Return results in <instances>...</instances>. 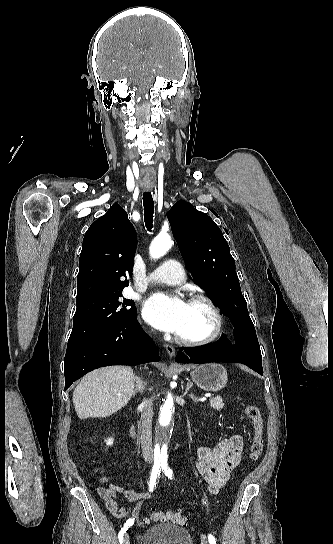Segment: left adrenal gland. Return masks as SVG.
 I'll list each match as a JSON object with an SVG mask.
<instances>
[{"mask_svg":"<svg viewBox=\"0 0 333 544\" xmlns=\"http://www.w3.org/2000/svg\"><path fill=\"white\" fill-rule=\"evenodd\" d=\"M192 385H193V384H192V382H190V381L187 383V388H186V391H185L186 394L188 393V391H189V389L192 387ZM189 396H190L194 401H196V398H195L192 394L189 395Z\"/></svg>","mask_w":333,"mask_h":544,"instance_id":"left-adrenal-gland-1","label":"left adrenal gland"}]
</instances>
